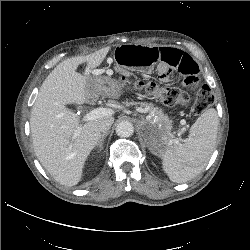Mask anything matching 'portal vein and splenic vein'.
<instances>
[{"instance_id":"1","label":"portal vein and splenic vein","mask_w":250,"mask_h":250,"mask_svg":"<svg viewBox=\"0 0 250 250\" xmlns=\"http://www.w3.org/2000/svg\"><path fill=\"white\" fill-rule=\"evenodd\" d=\"M137 110L139 112H145L143 109H140V108H138ZM113 113H114L113 110L109 109V108H96V109H93L90 112L86 113L82 118V122L95 120V119H98L100 117L112 115ZM79 133H80V128H78L75 131V135H78ZM173 142L178 143L179 141L177 139H174Z\"/></svg>"}]
</instances>
